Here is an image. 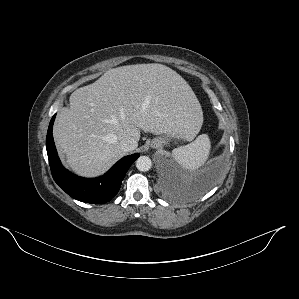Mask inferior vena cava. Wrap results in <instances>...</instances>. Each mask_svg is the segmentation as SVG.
Instances as JSON below:
<instances>
[{"label": "inferior vena cava", "mask_w": 299, "mask_h": 299, "mask_svg": "<svg viewBox=\"0 0 299 299\" xmlns=\"http://www.w3.org/2000/svg\"><path fill=\"white\" fill-rule=\"evenodd\" d=\"M137 141L131 137H126L120 141V148L124 152H130L137 148Z\"/></svg>", "instance_id": "1"}]
</instances>
